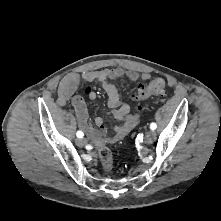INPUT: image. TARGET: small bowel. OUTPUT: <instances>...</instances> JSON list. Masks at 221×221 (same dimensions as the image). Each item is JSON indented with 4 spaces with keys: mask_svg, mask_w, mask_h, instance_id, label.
Returning <instances> with one entry per match:
<instances>
[{
    "mask_svg": "<svg viewBox=\"0 0 221 221\" xmlns=\"http://www.w3.org/2000/svg\"><path fill=\"white\" fill-rule=\"evenodd\" d=\"M123 77H127L131 81H137L139 78L142 80H148L150 76L148 73H142L139 75L133 70L117 67L112 69L86 71L82 74L71 73L66 75L59 84L57 96L58 104L63 106L69 99H71L79 127L89 135L97 145L114 144L121 141L140 120V115L132 114L130 112L129 105L122 102L116 86L110 82V80ZM82 79L88 83L100 84L105 91L107 95V104L110 109L109 115L121 122L120 125L114 127L112 134H107V129L105 128L101 117L95 119L96 128H93L89 120L85 101L81 96L74 95L75 88ZM84 92L90 100H95L97 97V89L92 84L87 85Z\"/></svg>",
    "mask_w": 221,
    "mask_h": 221,
    "instance_id": "obj_1",
    "label": "small bowel"
}]
</instances>
